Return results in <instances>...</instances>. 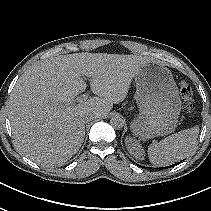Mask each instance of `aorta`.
<instances>
[{
	"label": "aorta",
	"instance_id": "obj_1",
	"mask_svg": "<svg viewBox=\"0 0 211 211\" xmlns=\"http://www.w3.org/2000/svg\"><path fill=\"white\" fill-rule=\"evenodd\" d=\"M110 124L115 128V129H122L124 126V120L121 116L116 115L113 116L110 120Z\"/></svg>",
	"mask_w": 211,
	"mask_h": 211
}]
</instances>
